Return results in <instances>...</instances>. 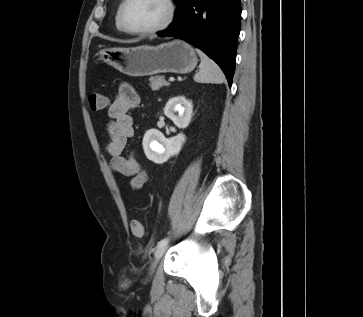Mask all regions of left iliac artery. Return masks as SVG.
<instances>
[{
  "instance_id": "1",
  "label": "left iliac artery",
  "mask_w": 363,
  "mask_h": 317,
  "mask_svg": "<svg viewBox=\"0 0 363 317\" xmlns=\"http://www.w3.org/2000/svg\"><path fill=\"white\" fill-rule=\"evenodd\" d=\"M168 243V238H164L158 242V247L165 246Z\"/></svg>"
}]
</instances>
